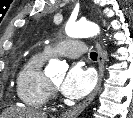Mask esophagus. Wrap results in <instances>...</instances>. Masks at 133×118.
Returning <instances> with one entry per match:
<instances>
[{"label": "esophagus", "instance_id": "obj_1", "mask_svg": "<svg viewBox=\"0 0 133 118\" xmlns=\"http://www.w3.org/2000/svg\"><path fill=\"white\" fill-rule=\"evenodd\" d=\"M96 48H97V52H98V82H97V85H96L95 89L93 90V92L82 103H80L73 109L67 111L63 115L64 118L77 117L90 104V102L94 99V97L96 96V94L98 93V91L100 89L103 75H104V57H103L102 47L100 46V44L98 42L96 43Z\"/></svg>", "mask_w": 133, "mask_h": 118}]
</instances>
